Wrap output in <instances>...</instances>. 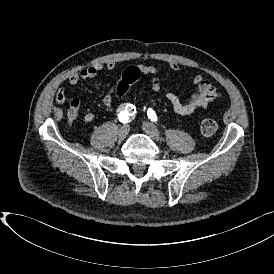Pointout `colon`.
I'll return each mask as SVG.
<instances>
[{"instance_id": "5ec220e1", "label": "colon", "mask_w": 274, "mask_h": 274, "mask_svg": "<svg viewBox=\"0 0 274 274\" xmlns=\"http://www.w3.org/2000/svg\"><path fill=\"white\" fill-rule=\"evenodd\" d=\"M141 76V70L136 66L127 67L122 75L121 79L117 82V87L115 88V95L117 97H124L126 95V90L134 86L136 81ZM76 117V112L73 110L68 111V122L72 124L74 118ZM217 128L216 121L213 118H204L201 121L200 129L203 135H212L215 133Z\"/></svg>"}]
</instances>
